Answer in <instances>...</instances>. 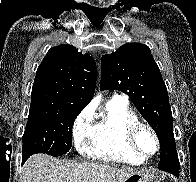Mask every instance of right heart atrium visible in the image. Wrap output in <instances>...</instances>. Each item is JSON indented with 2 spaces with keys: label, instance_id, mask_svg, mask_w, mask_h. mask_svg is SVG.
<instances>
[{
  "label": "right heart atrium",
  "instance_id": "obj_1",
  "mask_svg": "<svg viewBox=\"0 0 196 182\" xmlns=\"http://www.w3.org/2000/svg\"><path fill=\"white\" fill-rule=\"evenodd\" d=\"M93 129V109L85 108L76 118L73 125V138L76 148L82 151L90 139Z\"/></svg>",
  "mask_w": 196,
  "mask_h": 182
}]
</instances>
